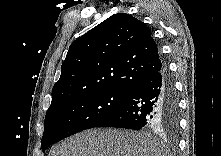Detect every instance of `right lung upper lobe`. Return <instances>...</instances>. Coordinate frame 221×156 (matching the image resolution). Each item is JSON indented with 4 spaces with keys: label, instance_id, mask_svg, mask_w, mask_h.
Segmentation results:
<instances>
[{
    "label": "right lung upper lobe",
    "instance_id": "right-lung-upper-lobe-1",
    "mask_svg": "<svg viewBox=\"0 0 221 156\" xmlns=\"http://www.w3.org/2000/svg\"><path fill=\"white\" fill-rule=\"evenodd\" d=\"M164 67L149 28L129 14H114L70 45L50 106L100 91L130 93Z\"/></svg>",
    "mask_w": 221,
    "mask_h": 156
}]
</instances>
